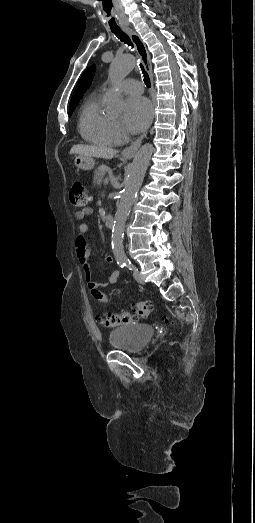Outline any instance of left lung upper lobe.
Segmentation results:
<instances>
[{
  "label": "left lung upper lobe",
  "instance_id": "1",
  "mask_svg": "<svg viewBox=\"0 0 255 523\" xmlns=\"http://www.w3.org/2000/svg\"><path fill=\"white\" fill-rule=\"evenodd\" d=\"M94 73H95V66L92 65L81 76L79 82L77 83L73 97L71 98V101H70L69 116H71L75 107L79 103V100L83 97L87 88L90 86Z\"/></svg>",
  "mask_w": 255,
  "mask_h": 523
}]
</instances>
